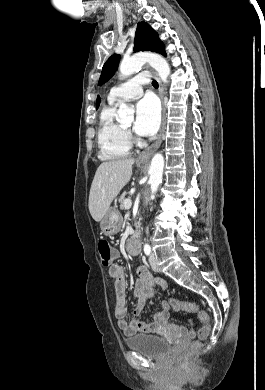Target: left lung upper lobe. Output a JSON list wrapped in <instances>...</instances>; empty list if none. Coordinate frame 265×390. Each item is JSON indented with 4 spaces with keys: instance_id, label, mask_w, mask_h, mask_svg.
Here are the masks:
<instances>
[{
    "instance_id": "5c2ea615",
    "label": "left lung upper lobe",
    "mask_w": 265,
    "mask_h": 390,
    "mask_svg": "<svg viewBox=\"0 0 265 390\" xmlns=\"http://www.w3.org/2000/svg\"><path fill=\"white\" fill-rule=\"evenodd\" d=\"M134 51H152L166 55L163 42L159 39L157 32L145 22H139L135 31ZM121 56L114 54L105 62L99 79L102 85L108 81L117 70Z\"/></svg>"
}]
</instances>
